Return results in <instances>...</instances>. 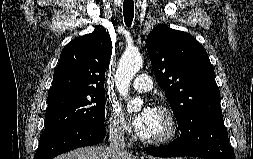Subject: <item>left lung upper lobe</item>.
I'll return each mask as SVG.
<instances>
[{
    "instance_id": "left-lung-upper-lobe-1",
    "label": "left lung upper lobe",
    "mask_w": 253,
    "mask_h": 159,
    "mask_svg": "<svg viewBox=\"0 0 253 159\" xmlns=\"http://www.w3.org/2000/svg\"><path fill=\"white\" fill-rule=\"evenodd\" d=\"M146 47L181 131L222 115L213 66L204 47L191 34L158 25L149 33Z\"/></svg>"
}]
</instances>
